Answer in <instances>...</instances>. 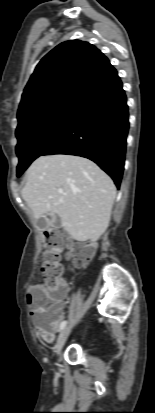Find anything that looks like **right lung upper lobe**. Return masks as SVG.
<instances>
[{"label":"right lung upper lobe","instance_id":"right-lung-upper-lobe-1","mask_svg":"<svg viewBox=\"0 0 155 413\" xmlns=\"http://www.w3.org/2000/svg\"><path fill=\"white\" fill-rule=\"evenodd\" d=\"M116 75L94 45L80 40L59 44L39 62L24 89L18 127L61 105L78 104Z\"/></svg>","mask_w":155,"mask_h":413}]
</instances>
